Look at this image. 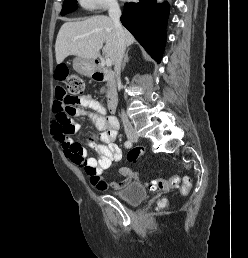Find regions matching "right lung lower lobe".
I'll return each mask as SVG.
<instances>
[{
    "instance_id": "obj_1",
    "label": "right lung lower lobe",
    "mask_w": 248,
    "mask_h": 258,
    "mask_svg": "<svg viewBox=\"0 0 248 258\" xmlns=\"http://www.w3.org/2000/svg\"><path fill=\"white\" fill-rule=\"evenodd\" d=\"M168 4L156 0H139L125 4L122 24L133 34L150 56L160 62L165 45Z\"/></svg>"
}]
</instances>
